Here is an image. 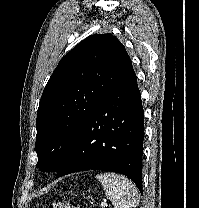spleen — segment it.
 <instances>
[{
	"label": "spleen",
	"instance_id": "obj_1",
	"mask_svg": "<svg viewBox=\"0 0 199 208\" xmlns=\"http://www.w3.org/2000/svg\"><path fill=\"white\" fill-rule=\"evenodd\" d=\"M96 179L103 185L105 195L114 208H134L138 204V189L126 177L106 172L96 175Z\"/></svg>",
	"mask_w": 199,
	"mask_h": 208
}]
</instances>
